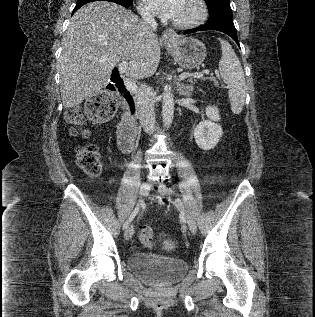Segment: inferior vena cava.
Instances as JSON below:
<instances>
[{"label": "inferior vena cava", "instance_id": "obj_1", "mask_svg": "<svg viewBox=\"0 0 315 317\" xmlns=\"http://www.w3.org/2000/svg\"><path fill=\"white\" fill-rule=\"evenodd\" d=\"M141 16L143 21L152 31L157 29V23L151 13L142 12ZM137 108L141 126L145 132L151 134L155 129V111L154 102L152 99V91L151 88L146 84H142L140 86L137 95Z\"/></svg>", "mask_w": 315, "mask_h": 317}]
</instances>
